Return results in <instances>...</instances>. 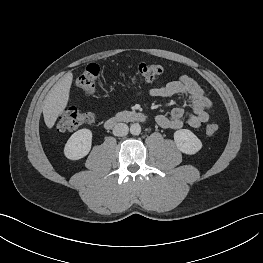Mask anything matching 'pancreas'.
Returning <instances> with one entry per match:
<instances>
[{
  "mask_svg": "<svg viewBox=\"0 0 263 263\" xmlns=\"http://www.w3.org/2000/svg\"><path fill=\"white\" fill-rule=\"evenodd\" d=\"M128 113H129L128 111L118 112V113L116 114V117H117V118H120V117H122V116H124V115H126V114H128Z\"/></svg>",
  "mask_w": 263,
  "mask_h": 263,
  "instance_id": "1",
  "label": "pancreas"
}]
</instances>
